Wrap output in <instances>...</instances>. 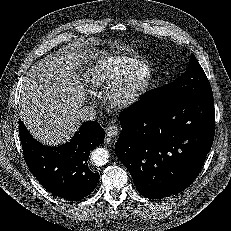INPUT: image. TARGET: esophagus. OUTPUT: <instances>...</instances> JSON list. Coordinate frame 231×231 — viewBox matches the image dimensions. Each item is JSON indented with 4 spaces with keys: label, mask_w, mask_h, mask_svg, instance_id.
Listing matches in <instances>:
<instances>
[{
    "label": "esophagus",
    "mask_w": 231,
    "mask_h": 231,
    "mask_svg": "<svg viewBox=\"0 0 231 231\" xmlns=\"http://www.w3.org/2000/svg\"><path fill=\"white\" fill-rule=\"evenodd\" d=\"M105 132L107 138H115L119 133V128L116 125H109Z\"/></svg>",
    "instance_id": "1"
}]
</instances>
